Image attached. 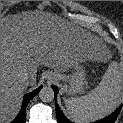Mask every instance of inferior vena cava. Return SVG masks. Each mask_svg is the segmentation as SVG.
<instances>
[{"label":"inferior vena cava","mask_w":123,"mask_h":123,"mask_svg":"<svg viewBox=\"0 0 123 123\" xmlns=\"http://www.w3.org/2000/svg\"><path fill=\"white\" fill-rule=\"evenodd\" d=\"M21 78L25 81H28L30 79V75L28 72H24L21 74Z\"/></svg>","instance_id":"602c4592"}]
</instances>
